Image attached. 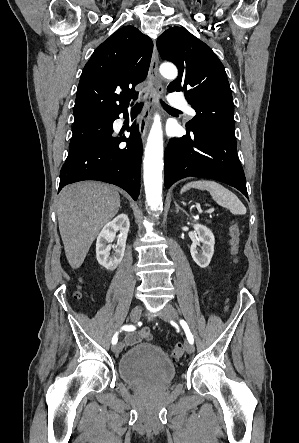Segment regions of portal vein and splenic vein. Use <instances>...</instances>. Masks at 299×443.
Returning <instances> with one entry per match:
<instances>
[{"instance_id": "1", "label": "portal vein and splenic vein", "mask_w": 299, "mask_h": 443, "mask_svg": "<svg viewBox=\"0 0 299 443\" xmlns=\"http://www.w3.org/2000/svg\"><path fill=\"white\" fill-rule=\"evenodd\" d=\"M213 211H214V209L211 208V209L207 210L206 213H212ZM201 212H202V211H201Z\"/></svg>"}]
</instances>
